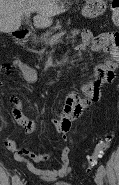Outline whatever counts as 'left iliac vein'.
Listing matches in <instances>:
<instances>
[{
	"instance_id": "obj_1",
	"label": "left iliac vein",
	"mask_w": 119,
	"mask_h": 185,
	"mask_svg": "<svg viewBox=\"0 0 119 185\" xmlns=\"http://www.w3.org/2000/svg\"><path fill=\"white\" fill-rule=\"evenodd\" d=\"M95 182L97 185H103V174L100 171L96 173Z\"/></svg>"
}]
</instances>
